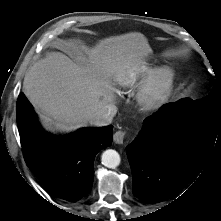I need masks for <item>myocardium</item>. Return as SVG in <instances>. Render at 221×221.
Instances as JSON below:
<instances>
[{"instance_id":"myocardium-1","label":"myocardium","mask_w":221,"mask_h":221,"mask_svg":"<svg viewBox=\"0 0 221 221\" xmlns=\"http://www.w3.org/2000/svg\"><path fill=\"white\" fill-rule=\"evenodd\" d=\"M175 85V70L171 66L155 69L148 77L139 99L148 109L164 104L170 97Z\"/></svg>"}]
</instances>
